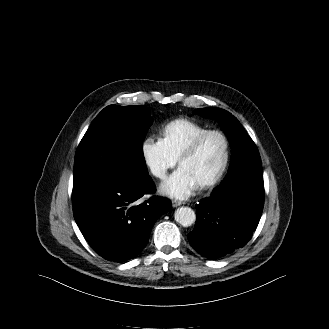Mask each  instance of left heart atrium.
I'll use <instances>...</instances> for the list:
<instances>
[{
	"instance_id": "left-heart-atrium-1",
	"label": "left heart atrium",
	"mask_w": 329,
	"mask_h": 329,
	"mask_svg": "<svg viewBox=\"0 0 329 329\" xmlns=\"http://www.w3.org/2000/svg\"><path fill=\"white\" fill-rule=\"evenodd\" d=\"M199 183L183 168L179 167L168 179H166L160 190L163 194L176 199H186L192 195Z\"/></svg>"
}]
</instances>
